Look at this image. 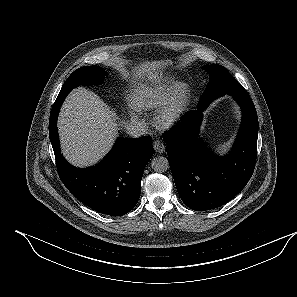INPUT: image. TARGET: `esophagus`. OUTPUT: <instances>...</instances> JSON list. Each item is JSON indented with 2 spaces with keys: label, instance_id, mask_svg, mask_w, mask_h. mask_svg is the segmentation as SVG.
I'll use <instances>...</instances> for the list:
<instances>
[{
  "label": "esophagus",
  "instance_id": "esophagus-1",
  "mask_svg": "<svg viewBox=\"0 0 297 297\" xmlns=\"http://www.w3.org/2000/svg\"><path fill=\"white\" fill-rule=\"evenodd\" d=\"M153 148L157 153H163L165 151V145L160 140L154 141Z\"/></svg>",
  "mask_w": 297,
  "mask_h": 297
}]
</instances>
